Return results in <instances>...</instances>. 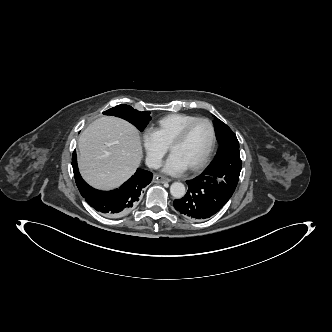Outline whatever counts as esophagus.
I'll return each mask as SVG.
<instances>
[{
  "instance_id": "1",
  "label": "esophagus",
  "mask_w": 332,
  "mask_h": 332,
  "mask_svg": "<svg viewBox=\"0 0 332 332\" xmlns=\"http://www.w3.org/2000/svg\"><path fill=\"white\" fill-rule=\"evenodd\" d=\"M153 181H154L155 183H164V182H169L170 179L167 178V177H165V176H163V175L156 174V175H154V177H153Z\"/></svg>"
}]
</instances>
